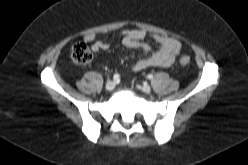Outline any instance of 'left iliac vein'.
I'll return each mask as SVG.
<instances>
[{"label":"left iliac vein","mask_w":248,"mask_h":165,"mask_svg":"<svg viewBox=\"0 0 248 165\" xmlns=\"http://www.w3.org/2000/svg\"><path fill=\"white\" fill-rule=\"evenodd\" d=\"M141 89L144 93H147V94L151 92V87L147 84L142 85Z\"/></svg>","instance_id":"left-iliac-vein-1"}]
</instances>
